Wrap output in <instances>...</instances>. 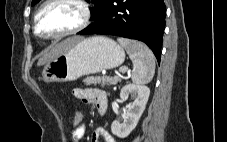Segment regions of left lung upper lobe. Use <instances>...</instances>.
<instances>
[{"mask_svg":"<svg viewBox=\"0 0 227 142\" xmlns=\"http://www.w3.org/2000/svg\"><path fill=\"white\" fill-rule=\"evenodd\" d=\"M39 0H32V6L35 5ZM108 0H87V2H91L94 4L95 8L91 9V16L96 18V16L99 14L101 9L104 7Z\"/></svg>","mask_w":227,"mask_h":142,"instance_id":"1","label":"left lung upper lobe"}]
</instances>
